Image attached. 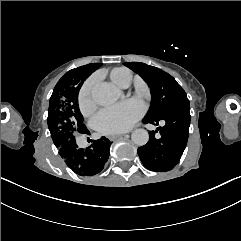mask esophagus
Here are the masks:
<instances>
[{"label":"esophagus","mask_w":241,"mask_h":241,"mask_svg":"<svg viewBox=\"0 0 241 241\" xmlns=\"http://www.w3.org/2000/svg\"><path fill=\"white\" fill-rule=\"evenodd\" d=\"M124 135H125L124 133L113 134V135H109V136H108V139H109L110 141H114V140H116L117 138L123 137Z\"/></svg>","instance_id":"esophagus-1"}]
</instances>
